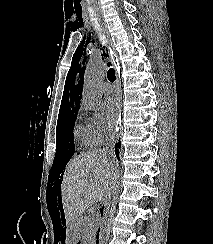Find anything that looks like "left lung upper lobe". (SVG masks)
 <instances>
[{
  "label": "left lung upper lobe",
  "mask_w": 213,
  "mask_h": 244,
  "mask_svg": "<svg viewBox=\"0 0 213 244\" xmlns=\"http://www.w3.org/2000/svg\"><path fill=\"white\" fill-rule=\"evenodd\" d=\"M78 63V60L74 63H72V66L70 68V71L68 73V76H67V83H66V88H69L70 85L72 86L73 83H74V80H75V74L77 72H80V65H77ZM83 71V70H81ZM82 76V73L80 74V77Z\"/></svg>",
  "instance_id": "obj_1"
}]
</instances>
